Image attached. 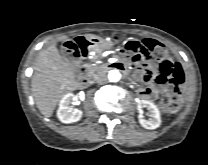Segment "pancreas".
Here are the masks:
<instances>
[{
	"label": "pancreas",
	"instance_id": "obj_1",
	"mask_svg": "<svg viewBox=\"0 0 208 165\" xmlns=\"http://www.w3.org/2000/svg\"><path fill=\"white\" fill-rule=\"evenodd\" d=\"M106 69L105 65H88V73L92 76H96L97 73L102 72Z\"/></svg>",
	"mask_w": 208,
	"mask_h": 165
}]
</instances>
